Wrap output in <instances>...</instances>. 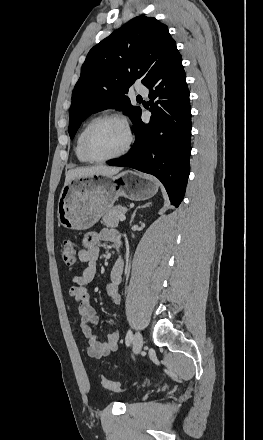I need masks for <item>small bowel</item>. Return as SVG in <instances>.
<instances>
[{"label": "small bowel", "instance_id": "obj_1", "mask_svg": "<svg viewBox=\"0 0 263 440\" xmlns=\"http://www.w3.org/2000/svg\"><path fill=\"white\" fill-rule=\"evenodd\" d=\"M101 243H110L119 248L121 245V235L117 230L103 229L99 232L87 234L84 237L83 247L78 251V258L86 264V267L80 275L72 278V285L69 289V294L74 299L80 315V329L88 343L87 353L90 357L96 359L116 350L117 342L120 338L118 330H113L109 333L106 340H100L94 331V327L98 323V316L95 307L90 302L88 288L97 273L100 253L99 245ZM123 271L124 261L122 258H119L111 269L110 282L107 285V294L114 305H118L121 300L118 285L121 282Z\"/></svg>", "mask_w": 263, "mask_h": 440}]
</instances>
